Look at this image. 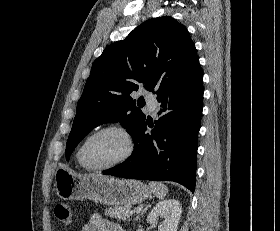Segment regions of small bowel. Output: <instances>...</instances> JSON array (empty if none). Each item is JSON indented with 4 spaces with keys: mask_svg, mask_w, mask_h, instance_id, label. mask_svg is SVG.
Instances as JSON below:
<instances>
[{
    "mask_svg": "<svg viewBox=\"0 0 280 231\" xmlns=\"http://www.w3.org/2000/svg\"><path fill=\"white\" fill-rule=\"evenodd\" d=\"M82 231H123V229L118 224L104 219L101 215L93 214Z\"/></svg>",
    "mask_w": 280,
    "mask_h": 231,
    "instance_id": "obj_1",
    "label": "small bowel"
}]
</instances>
